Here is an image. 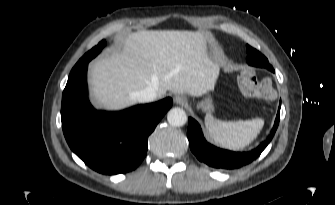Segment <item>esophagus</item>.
I'll use <instances>...</instances> for the list:
<instances>
[{
    "label": "esophagus",
    "mask_w": 335,
    "mask_h": 205,
    "mask_svg": "<svg viewBox=\"0 0 335 205\" xmlns=\"http://www.w3.org/2000/svg\"><path fill=\"white\" fill-rule=\"evenodd\" d=\"M174 102L178 105H185V104H187V99L184 96L175 95L174 96Z\"/></svg>",
    "instance_id": "34e87169"
}]
</instances>
